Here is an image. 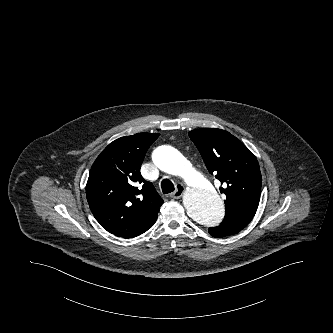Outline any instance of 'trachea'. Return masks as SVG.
Here are the masks:
<instances>
[{
    "label": "trachea",
    "mask_w": 333,
    "mask_h": 333,
    "mask_svg": "<svg viewBox=\"0 0 333 333\" xmlns=\"http://www.w3.org/2000/svg\"><path fill=\"white\" fill-rule=\"evenodd\" d=\"M161 189L164 194L171 193L175 190L174 184L169 179H164L161 182Z\"/></svg>",
    "instance_id": "obj_1"
}]
</instances>
